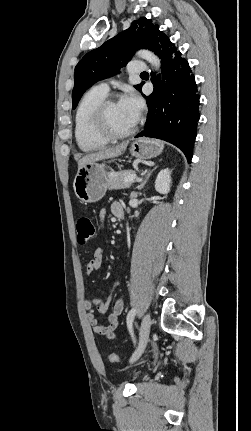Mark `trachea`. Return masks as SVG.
I'll return each mask as SVG.
<instances>
[{
    "label": "trachea",
    "mask_w": 251,
    "mask_h": 431,
    "mask_svg": "<svg viewBox=\"0 0 251 431\" xmlns=\"http://www.w3.org/2000/svg\"><path fill=\"white\" fill-rule=\"evenodd\" d=\"M147 74V72H143V73H141V75H146Z\"/></svg>",
    "instance_id": "obj_1"
}]
</instances>
